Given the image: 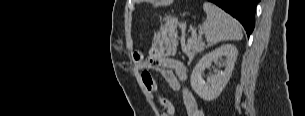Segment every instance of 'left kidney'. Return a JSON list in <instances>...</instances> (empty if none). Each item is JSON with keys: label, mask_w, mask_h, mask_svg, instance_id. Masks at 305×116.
Segmentation results:
<instances>
[{"label": "left kidney", "mask_w": 305, "mask_h": 116, "mask_svg": "<svg viewBox=\"0 0 305 116\" xmlns=\"http://www.w3.org/2000/svg\"><path fill=\"white\" fill-rule=\"evenodd\" d=\"M237 56V48L231 44L222 45L204 55L191 74L190 83L193 91L205 101L216 99L227 85L232 75ZM222 57L226 58L225 62L221 63V65L224 66V70H217L215 74L205 82L202 77L204 70L210 67L212 62L219 63Z\"/></svg>", "instance_id": "left-kidney-1"}]
</instances>
